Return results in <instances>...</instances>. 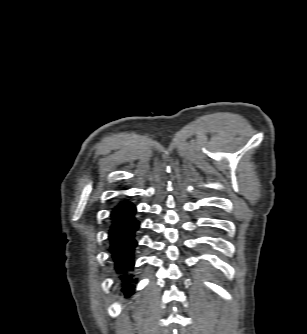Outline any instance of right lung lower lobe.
<instances>
[{"mask_svg": "<svg viewBox=\"0 0 307 334\" xmlns=\"http://www.w3.org/2000/svg\"><path fill=\"white\" fill-rule=\"evenodd\" d=\"M136 207L128 200L119 202L111 211L109 225V253L125 295L134 292V250L140 222L135 218Z\"/></svg>", "mask_w": 307, "mask_h": 334, "instance_id": "1", "label": "right lung lower lobe"}]
</instances>
